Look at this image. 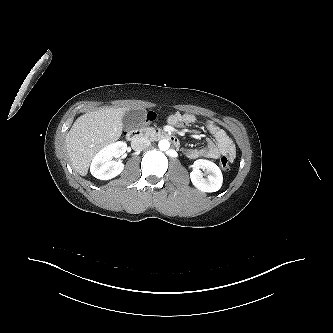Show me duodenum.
<instances>
[{
	"label": "duodenum",
	"mask_w": 333,
	"mask_h": 333,
	"mask_svg": "<svg viewBox=\"0 0 333 333\" xmlns=\"http://www.w3.org/2000/svg\"><path fill=\"white\" fill-rule=\"evenodd\" d=\"M128 141L132 144L134 148H139L142 145V141L147 137H153L157 139L167 140L174 146H179V140L171 133L162 129H151L144 130L138 129L127 133L126 135Z\"/></svg>",
	"instance_id": "duodenum-1"
}]
</instances>
